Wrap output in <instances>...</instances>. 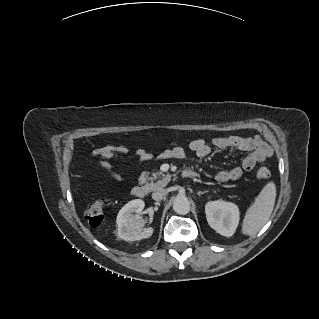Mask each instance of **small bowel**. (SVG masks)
<instances>
[{
  "instance_id": "small-bowel-1",
  "label": "small bowel",
  "mask_w": 319,
  "mask_h": 319,
  "mask_svg": "<svg viewBox=\"0 0 319 319\" xmlns=\"http://www.w3.org/2000/svg\"><path fill=\"white\" fill-rule=\"evenodd\" d=\"M189 149L197 157H207L213 149L217 150H236L247 153L240 164L226 170H220L216 173L215 179L218 182L234 181L241 178L244 172H249L255 168L258 163L263 162L269 155V149L258 136H229L219 137L212 141L203 139H194L189 144ZM131 149L124 143H110L99 147L94 151V156L98 159L99 165L105 175L114 182H121V177L116 173L110 163V159L116 155H128ZM141 161H149L151 153L145 148L138 147L133 152ZM164 157L171 159H184L187 156L186 149L183 147H174L163 152Z\"/></svg>"
}]
</instances>
